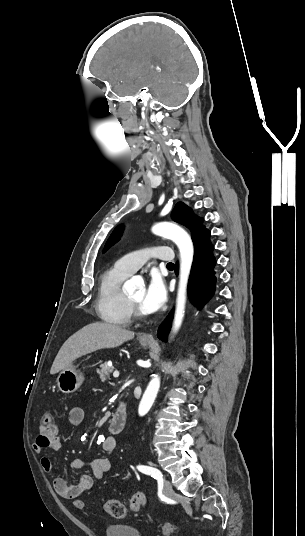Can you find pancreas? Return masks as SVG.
Returning a JSON list of instances; mask_svg holds the SVG:
<instances>
[{
  "label": "pancreas",
  "mask_w": 305,
  "mask_h": 536,
  "mask_svg": "<svg viewBox=\"0 0 305 536\" xmlns=\"http://www.w3.org/2000/svg\"><path fill=\"white\" fill-rule=\"evenodd\" d=\"M113 372V366L112 368H109L108 362H105V364H101L100 370H97V374L101 380V382H105V380H110V374Z\"/></svg>",
  "instance_id": "1"
}]
</instances>
